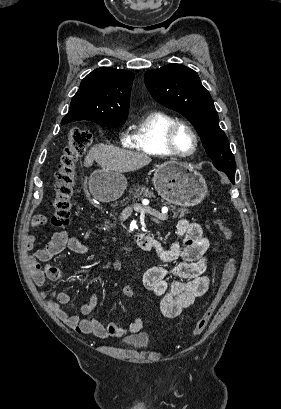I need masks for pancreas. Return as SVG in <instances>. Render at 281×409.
<instances>
[{
	"label": "pancreas",
	"mask_w": 281,
	"mask_h": 409,
	"mask_svg": "<svg viewBox=\"0 0 281 409\" xmlns=\"http://www.w3.org/2000/svg\"><path fill=\"white\" fill-rule=\"evenodd\" d=\"M129 192H131L132 198H152V196H154L153 190H149L146 186H140V184H137L134 188H130ZM129 198L130 196H128V200ZM171 211L173 213V219H181V217L185 215L183 209H175V207H172ZM166 219H168V215L164 221H166Z\"/></svg>",
	"instance_id": "obj_1"
}]
</instances>
